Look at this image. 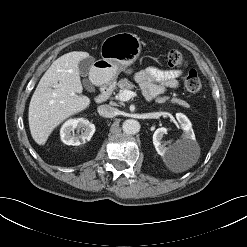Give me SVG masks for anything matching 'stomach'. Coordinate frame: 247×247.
I'll use <instances>...</instances> for the list:
<instances>
[{"instance_id": "1", "label": "stomach", "mask_w": 247, "mask_h": 247, "mask_svg": "<svg viewBox=\"0 0 247 247\" xmlns=\"http://www.w3.org/2000/svg\"><path fill=\"white\" fill-rule=\"evenodd\" d=\"M100 53L102 59L95 62L93 73L100 82H107L136 61L141 53V41L133 33H116L102 42Z\"/></svg>"}]
</instances>
